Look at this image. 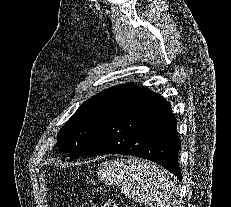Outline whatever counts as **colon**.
Segmentation results:
<instances>
[{"label":"colon","instance_id":"1","mask_svg":"<svg viewBox=\"0 0 231 207\" xmlns=\"http://www.w3.org/2000/svg\"><path fill=\"white\" fill-rule=\"evenodd\" d=\"M98 207H119L117 203L111 199V198H106L103 202Z\"/></svg>","mask_w":231,"mask_h":207}]
</instances>
